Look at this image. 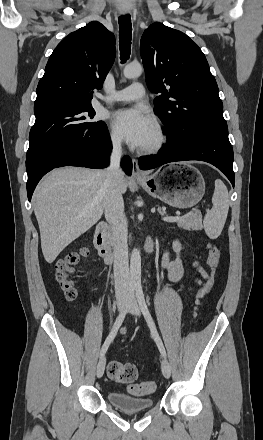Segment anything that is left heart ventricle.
Here are the masks:
<instances>
[{
    "label": "left heart ventricle",
    "mask_w": 263,
    "mask_h": 440,
    "mask_svg": "<svg viewBox=\"0 0 263 440\" xmlns=\"http://www.w3.org/2000/svg\"><path fill=\"white\" fill-rule=\"evenodd\" d=\"M154 138H155L154 131H153V128L151 127L149 129V131L147 132V134L145 135L140 146H145V145L152 143L154 141Z\"/></svg>",
    "instance_id": "obj_1"
}]
</instances>
